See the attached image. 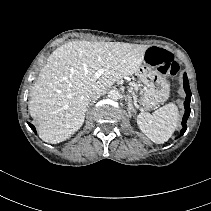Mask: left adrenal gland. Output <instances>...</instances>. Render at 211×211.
<instances>
[{"label": "left adrenal gland", "mask_w": 211, "mask_h": 211, "mask_svg": "<svg viewBox=\"0 0 211 211\" xmlns=\"http://www.w3.org/2000/svg\"><path fill=\"white\" fill-rule=\"evenodd\" d=\"M126 100H128L127 104H128V111L130 113V110L133 109V102H132V98L130 95L126 96Z\"/></svg>", "instance_id": "left-adrenal-gland-1"}]
</instances>
